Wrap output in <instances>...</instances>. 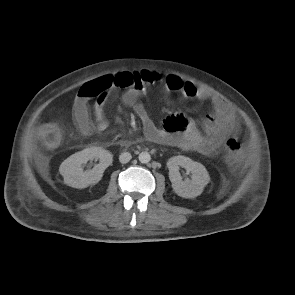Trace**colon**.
I'll return each instance as SVG.
<instances>
[{
  "label": "colon",
  "instance_id": "5ec220e1",
  "mask_svg": "<svg viewBox=\"0 0 295 295\" xmlns=\"http://www.w3.org/2000/svg\"><path fill=\"white\" fill-rule=\"evenodd\" d=\"M101 84L111 90L114 87L127 89L138 86L140 82L132 73H119L105 77ZM39 134L42 143L49 149L56 148L62 140L61 128L53 123L44 124L40 128ZM245 156L246 150L236 138H230L226 142V158L229 163L238 164L244 160Z\"/></svg>",
  "mask_w": 295,
  "mask_h": 295
}]
</instances>
